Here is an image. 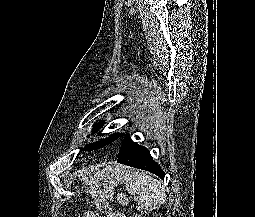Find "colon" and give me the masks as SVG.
Here are the masks:
<instances>
[{
	"mask_svg": "<svg viewBox=\"0 0 255 217\" xmlns=\"http://www.w3.org/2000/svg\"><path fill=\"white\" fill-rule=\"evenodd\" d=\"M90 194H91V197L93 198L97 208L100 211L104 212V209L106 208V203H105V200H104L99 188L95 185H91ZM132 217H144V216H142L141 214H134Z\"/></svg>",
	"mask_w": 255,
	"mask_h": 217,
	"instance_id": "colon-1",
	"label": "colon"
}]
</instances>
